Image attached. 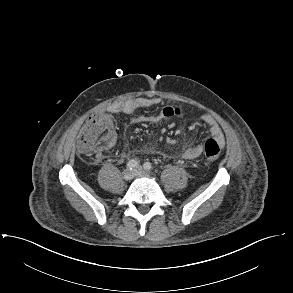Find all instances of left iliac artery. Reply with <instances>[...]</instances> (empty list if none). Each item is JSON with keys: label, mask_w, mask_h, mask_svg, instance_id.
<instances>
[{"label": "left iliac artery", "mask_w": 293, "mask_h": 293, "mask_svg": "<svg viewBox=\"0 0 293 293\" xmlns=\"http://www.w3.org/2000/svg\"><path fill=\"white\" fill-rule=\"evenodd\" d=\"M143 167L145 170H148V171L152 169V165L150 162L144 163Z\"/></svg>", "instance_id": "obj_1"}]
</instances>
